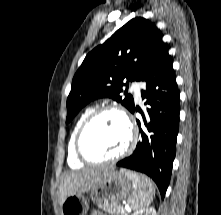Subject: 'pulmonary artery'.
Wrapping results in <instances>:
<instances>
[{"label":"pulmonary artery","instance_id":"1","mask_svg":"<svg viewBox=\"0 0 221 215\" xmlns=\"http://www.w3.org/2000/svg\"><path fill=\"white\" fill-rule=\"evenodd\" d=\"M141 88L142 84L140 82H134L132 85V89L135 93V97L137 100H141Z\"/></svg>","mask_w":221,"mask_h":215}]
</instances>
